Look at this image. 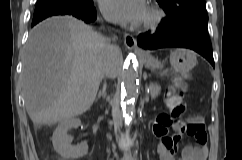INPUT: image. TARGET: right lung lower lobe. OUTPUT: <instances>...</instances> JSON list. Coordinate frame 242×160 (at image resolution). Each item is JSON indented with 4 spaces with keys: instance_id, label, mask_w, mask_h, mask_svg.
Masks as SVG:
<instances>
[{
    "instance_id": "obj_1",
    "label": "right lung lower lobe",
    "mask_w": 242,
    "mask_h": 160,
    "mask_svg": "<svg viewBox=\"0 0 242 160\" xmlns=\"http://www.w3.org/2000/svg\"><path fill=\"white\" fill-rule=\"evenodd\" d=\"M56 15L74 16L78 19L84 20L86 23L94 22L97 18L96 9L94 8V5L92 7L85 8V9H79V8L67 9V8L57 7V8L48 9L34 14V17L32 20V26L36 25L38 22L42 21L47 17L56 16Z\"/></svg>"
}]
</instances>
